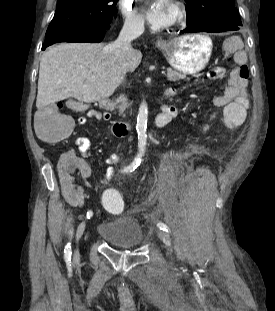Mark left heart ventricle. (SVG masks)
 <instances>
[{"instance_id": "obj_1", "label": "left heart ventricle", "mask_w": 275, "mask_h": 311, "mask_svg": "<svg viewBox=\"0 0 275 311\" xmlns=\"http://www.w3.org/2000/svg\"><path fill=\"white\" fill-rule=\"evenodd\" d=\"M175 15H176V10H175V7L173 5L172 6V20L174 19Z\"/></svg>"}]
</instances>
